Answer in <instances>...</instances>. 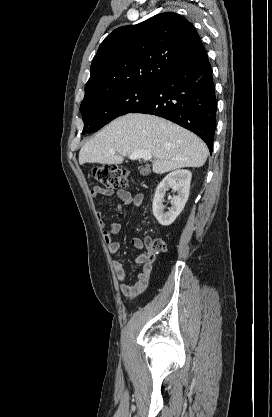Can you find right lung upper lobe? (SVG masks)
I'll return each mask as SVG.
<instances>
[{"instance_id":"1","label":"right lung upper lobe","mask_w":272,"mask_h":417,"mask_svg":"<svg viewBox=\"0 0 272 417\" xmlns=\"http://www.w3.org/2000/svg\"><path fill=\"white\" fill-rule=\"evenodd\" d=\"M203 50L195 27L173 12L117 28L101 43L93 59L83 100L157 84Z\"/></svg>"}]
</instances>
